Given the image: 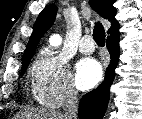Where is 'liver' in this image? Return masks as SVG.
Here are the masks:
<instances>
[{"label":"liver","instance_id":"6515ba94","mask_svg":"<svg viewBox=\"0 0 142 119\" xmlns=\"http://www.w3.org/2000/svg\"><path fill=\"white\" fill-rule=\"evenodd\" d=\"M19 117L21 119H66L65 116L59 112L45 109L25 110Z\"/></svg>","mask_w":142,"mask_h":119}]
</instances>
